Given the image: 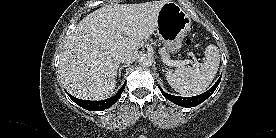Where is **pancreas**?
<instances>
[{"mask_svg": "<svg viewBox=\"0 0 276 138\" xmlns=\"http://www.w3.org/2000/svg\"><path fill=\"white\" fill-rule=\"evenodd\" d=\"M161 53H162V56L165 58V59H168L169 60V54L167 52L166 49H161Z\"/></svg>", "mask_w": 276, "mask_h": 138, "instance_id": "pancreas-1", "label": "pancreas"}]
</instances>
